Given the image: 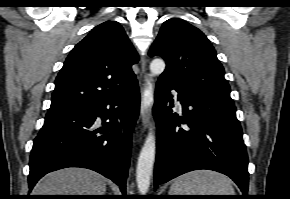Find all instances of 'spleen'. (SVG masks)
Returning <instances> with one entry per match:
<instances>
[{
	"label": "spleen",
	"mask_w": 290,
	"mask_h": 199,
	"mask_svg": "<svg viewBox=\"0 0 290 199\" xmlns=\"http://www.w3.org/2000/svg\"><path fill=\"white\" fill-rule=\"evenodd\" d=\"M170 195H235L230 179L211 170H195L178 177Z\"/></svg>",
	"instance_id": "1"
}]
</instances>
